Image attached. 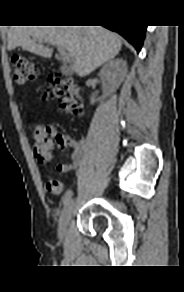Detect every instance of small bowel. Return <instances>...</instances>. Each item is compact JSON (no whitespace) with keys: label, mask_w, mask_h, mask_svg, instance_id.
Here are the masks:
<instances>
[{"label":"small bowel","mask_w":184,"mask_h":292,"mask_svg":"<svg viewBox=\"0 0 184 292\" xmlns=\"http://www.w3.org/2000/svg\"><path fill=\"white\" fill-rule=\"evenodd\" d=\"M51 143L56 148L64 150L66 148H72L70 163H61L57 166V170L61 173H69L77 171L83 163V150L84 145L82 141L76 140L70 135L60 133L55 130H51Z\"/></svg>","instance_id":"c3829d8e"}]
</instances>
